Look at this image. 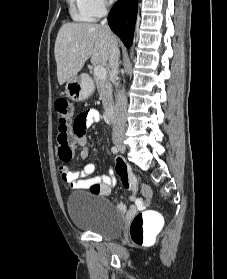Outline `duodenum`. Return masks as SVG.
I'll return each mask as SVG.
<instances>
[{
    "mask_svg": "<svg viewBox=\"0 0 227 279\" xmlns=\"http://www.w3.org/2000/svg\"><path fill=\"white\" fill-rule=\"evenodd\" d=\"M105 117L108 121L112 122L114 121V115L112 108H107L105 111Z\"/></svg>",
    "mask_w": 227,
    "mask_h": 279,
    "instance_id": "410a0bca",
    "label": "duodenum"
}]
</instances>
